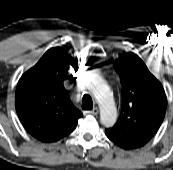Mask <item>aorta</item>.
Segmentation results:
<instances>
[{"instance_id": "aorta-1", "label": "aorta", "mask_w": 173, "mask_h": 170, "mask_svg": "<svg viewBox=\"0 0 173 170\" xmlns=\"http://www.w3.org/2000/svg\"><path fill=\"white\" fill-rule=\"evenodd\" d=\"M85 84L99 103L101 123L106 127L113 126L117 119V109L108 86L97 75L88 76Z\"/></svg>"}]
</instances>
